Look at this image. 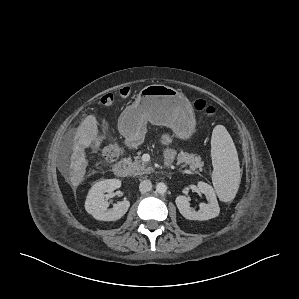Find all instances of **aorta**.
<instances>
[{
	"instance_id": "1",
	"label": "aorta",
	"mask_w": 299,
	"mask_h": 299,
	"mask_svg": "<svg viewBox=\"0 0 299 299\" xmlns=\"http://www.w3.org/2000/svg\"><path fill=\"white\" fill-rule=\"evenodd\" d=\"M156 191H157L159 194H164V193H166V191H167V186H166V184H165V183H162V182L158 183V184L156 185Z\"/></svg>"
}]
</instances>
